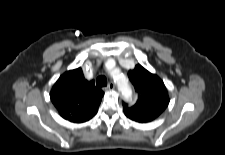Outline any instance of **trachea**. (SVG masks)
<instances>
[{
    "label": "trachea",
    "mask_w": 225,
    "mask_h": 155,
    "mask_svg": "<svg viewBox=\"0 0 225 155\" xmlns=\"http://www.w3.org/2000/svg\"><path fill=\"white\" fill-rule=\"evenodd\" d=\"M96 85H97L98 88L107 86V79H106V77L105 76H99L96 79Z\"/></svg>",
    "instance_id": "trachea-1"
}]
</instances>
